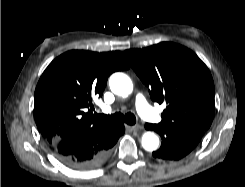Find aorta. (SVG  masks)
<instances>
[{
  "label": "aorta",
  "instance_id": "aorta-1",
  "mask_svg": "<svg viewBox=\"0 0 245 187\" xmlns=\"http://www.w3.org/2000/svg\"><path fill=\"white\" fill-rule=\"evenodd\" d=\"M111 91L119 96L127 97L133 90L131 79L124 73L118 72L109 79ZM142 147L147 151H154L159 146V138L153 132H146L141 139Z\"/></svg>",
  "mask_w": 245,
  "mask_h": 187
}]
</instances>
